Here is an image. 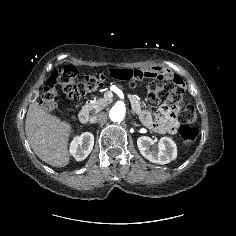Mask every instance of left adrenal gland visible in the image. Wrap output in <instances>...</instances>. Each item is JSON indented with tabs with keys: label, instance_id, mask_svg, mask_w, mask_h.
I'll list each match as a JSON object with an SVG mask.
<instances>
[{
	"label": "left adrenal gland",
	"instance_id": "left-adrenal-gland-1",
	"mask_svg": "<svg viewBox=\"0 0 236 236\" xmlns=\"http://www.w3.org/2000/svg\"><path fill=\"white\" fill-rule=\"evenodd\" d=\"M135 126H138L136 123H133Z\"/></svg>",
	"mask_w": 236,
	"mask_h": 236
}]
</instances>
